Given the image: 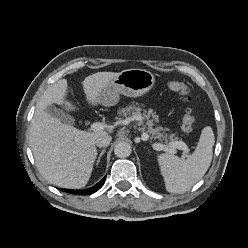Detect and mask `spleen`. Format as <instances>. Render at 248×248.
Wrapping results in <instances>:
<instances>
[{"label": "spleen", "mask_w": 248, "mask_h": 248, "mask_svg": "<svg viewBox=\"0 0 248 248\" xmlns=\"http://www.w3.org/2000/svg\"><path fill=\"white\" fill-rule=\"evenodd\" d=\"M215 138L210 126L202 130L195 151L187 159L171 154L158 156V164L170 193H184L195 185L206 173L212 161Z\"/></svg>", "instance_id": "3e777b00"}]
</instances>
